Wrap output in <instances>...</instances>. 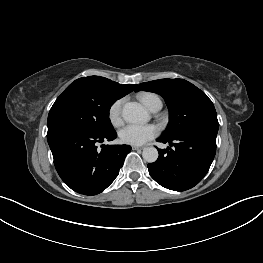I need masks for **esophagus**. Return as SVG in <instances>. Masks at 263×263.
Listing matches in <instances>:
<instances>
[{
	"label": "esophagus",
	"mask_w": 263,
	"mask_h": 263,
	"mask_svg": "<svg viewBox=\"0 0 263 263\" xmlns=\"http://www.w3.org/2000/svg\"><path fill=\"white\" fill-rule=\"evenodd\" d=\"M144 147L141 146H132L133 150H142Z\"/></svg>",
	"instance_id": "34e87169"
}]
</instances>
